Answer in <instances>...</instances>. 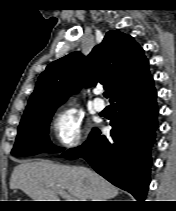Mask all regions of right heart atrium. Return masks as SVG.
<instances>
[{
  "label": "right heart atrium",
  "mask_w": 176,
  "mask_h": 211,
  "mask_svg": "<svg viewBox=\"0 0 176 211\" xmlns=\"http://www.w3.org/2000/svg\"><path fill=\"white\" fill-rule=\"evenodd\" d=\"M55 142L65 149H75L83 142L82 117L73 109L58 111L51 122Z\"/></svg>",
  "instance_id": "1"
}]
</instances>
